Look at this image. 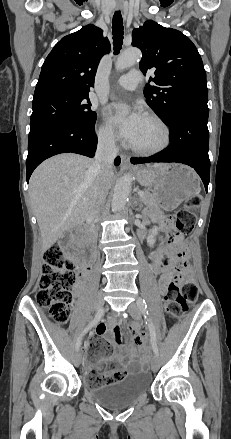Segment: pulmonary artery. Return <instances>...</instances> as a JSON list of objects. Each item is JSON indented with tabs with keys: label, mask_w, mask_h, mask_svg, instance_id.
<instances>
[{
	"label": "pulmonary artery",
	"mask_w": 231,
	"mask_h": 439,
	"mask_svg": "<svg viewBox=\"0 0 231 439\" xmlns=\"http://www.w3.org/2000/svg\"><path fill=\"white\" fill-rule=\"evenodd\" d=\"M141 80V72L138 70H134L120 76L116 80V85L127 90H134L141 83Z\"/></svg>",
	"instance_id": "1"
}]
</instances>
